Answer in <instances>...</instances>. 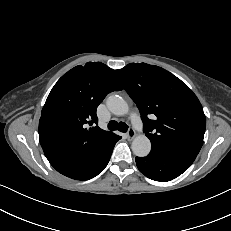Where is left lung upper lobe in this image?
I'll return each instance as SVG.
<instances>
[{
	"label": "left lung upper lobe",
	"mask_w": 231,
	"mask_h": 231,
	"mask_svg": "<svg viewBox=\"0 0 231 231\" xmlns=\"http://www.w3.org/2000/svg\"><path fill=\"white\" fill-rule=\"evenodd\" d=\"M136 103L152 148L197 156L206 128L202 105L192 90L167 70L130 63L116 70Z\"/></svg>",
	"instance_id": "5c2ea615"
}]
</instances>
